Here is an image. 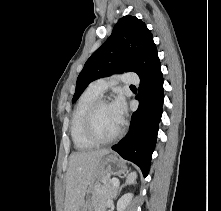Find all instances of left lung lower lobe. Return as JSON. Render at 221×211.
<instances>
[{"label":"left lung lower lobe","mask_w":221,"mask_h":211,"mask_svg":"<svg viewBox=\"0 0 221 211\" xmlns=\"http://www.w3.org/2000/svg\"><path fill=\"white\" fill-rule=\"evenodd\" d=\"M139 78V94L136 96L139 108L132 115L128 134L112 149L138 165L143 175L147 176L164 101L163 75L157 53L151 57Z\"/></svg>","instance_id":"0a47b994"}]
</instances>
